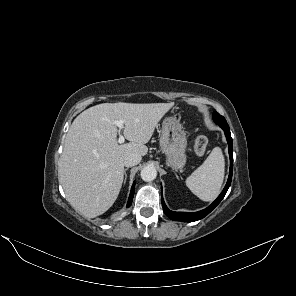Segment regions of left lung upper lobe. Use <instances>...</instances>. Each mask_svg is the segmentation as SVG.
I'll return each mask as SVG.
<instances>
[{
    "mask_svg": "<svg viewBox=\"0 0 296 296\" xmlns=\"http://www.w3.org/2000/svg\"><path fill=\"white\" fill-rule=\"evenodd\" d=\"M213 119L216 123H227L225 118L221 116L218 112L213 113Z\"/></svg>",
    "mask_w": 296,
    "mask_h": 296,
    "instance_id": "left-lung-upper-lobe-1",
    "label": "left lung upper lobe"
}]
</instances>
